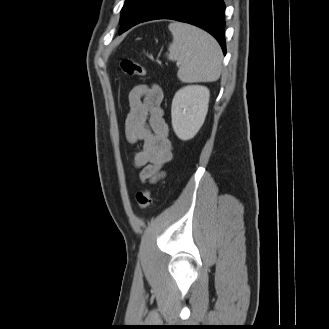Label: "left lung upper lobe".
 <instances>
[{
	"label": "left lung upper lobe",
	"instance_id": "obj_1",
	"mask_svg": "<svg viewBox=\"0 0 329 329\" xmlns=\"http://www.w3.org/2000/svg\"><path fill=\"white\" fill-rule=\"evenodd\" d=\"M147 1L148 0H126L125 5L121 11L122 15H121L120 23H122V26L119 32L126 27V24L131 19L133 13L137 11Z\"/></svg>",
	"mask_w": 329,
	"mask_h": 329
}]
</instances>
